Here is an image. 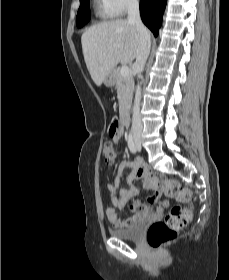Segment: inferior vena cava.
<instances>
[{
  "instance_id": "602c4592",
  "label": "inferior vena cava",
  "mask_w": 229,
  "mask_h": 280,
  "mask_svg": "<svg viewBox=\"0 0 229 280\" xmlns=\"http://www.w3.org/2000/svg\"><path fill=\"white\" fill-rule=\"evenodd\" d=\"M128 10V23L134 24L137 30L140 32L141 40L137 50L135 69L137 73H141L144 69L146 60L148 58L151 40L150 34L146 27L143 25L140 18L139 1L129 0L127 5ZM140 99H141V87L138 84L135 94L133 117H132V133L134 136H140L142 132V123L140 118Z\"/></svg>"
}]
</instances>
